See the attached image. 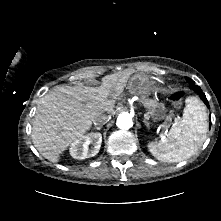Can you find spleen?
<instances>
[{
  "mask_svg": "<svg viewBox=\"0 0 221 221\" xmlns=\"http://www.w3.org/2000/svg\"><path fill=\"white\" fill-rule=\"evenodd\" d=\"M207 119L203 103L197 97H188L182 118L173 124L167 136L148 144L150 153L162 162H180L190 158L206 139Z\"/></svg>",
  "mask_w": 221,
  "mask_h": 221,
  "instance_id": "spleen-1",
  "label": "spleen"
}]
</instances>
